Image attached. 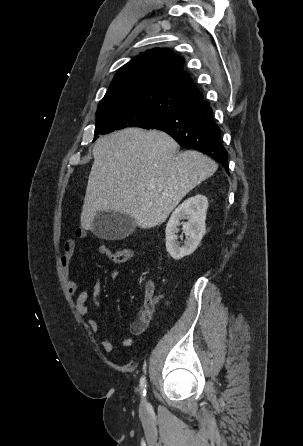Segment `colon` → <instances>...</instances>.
Segmentation results:
<instances>
[{
    "label": "colon",
    "instance_id": "obj_1",
    "mask_svg": "<svg viewBox=\"0 0 303 446\" xmlns=\"http://www.w3.org/2000/svg\"><path fill=\"white\" fill-rule=\"evenodd\" d=\"M111 262L123 263L135 254V250L132 247L123 248L117 251H111L107 246L101 251Z\"/></svg>",
    "mask_w": 303,
    "mask_h": 446
}]
</instances>
